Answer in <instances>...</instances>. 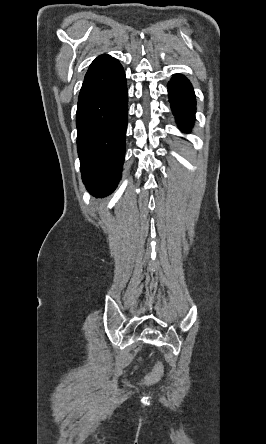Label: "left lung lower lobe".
I'll use <instances>...</instances> for the list:
<instances>
[{
	"label": "left lung lower lobe",
	"instance_id": "0a47b994",
	"mask_svg": "<svg viewBox=\"0 0 266 444\" xmlns=\"http://www.w3.org/2000/svg\"><path fill=\"white\" fill-rule=\"evenodd\" d=\"M169 101L180 128L188 132L194 122L196 100L189 80L183 75H175L168 84Z\"/></svg>",
	"mask_w": 266,
	"mask_h": 444
}]
</instances>
